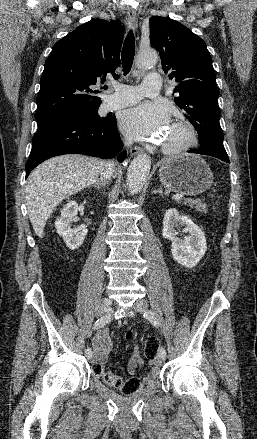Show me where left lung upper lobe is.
<instances>
[{"instance_id": "left-lung-upper-lobe-1", "label": "left lung upper lobe", "mask_w": 257, "mask_h": 439, "mask_svg": "<svg viewBox=\"0 0 257 439\" xmlns=\"http://www.w3.org/2000/svg\"><path fill=\"white\" fill-rule=\"evenodd\" d=\"M150 43L160 53L164 72L178 83L174 101L197 130L200 150L226 153L216 74L204 40L176 20L153 16Z\"/></svg>"}]
</instances>
